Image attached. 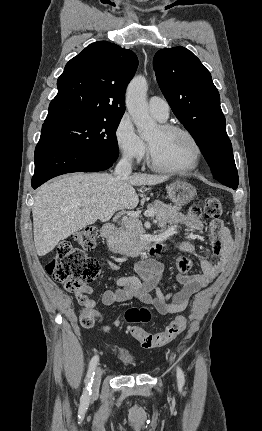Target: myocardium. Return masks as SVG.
I'll list each match as a JSON object with an SVG mask.
<instances>
[{
  "label": "myocardium",
  "mask_w": 262,
  "mask_h": 431,
  "mask_svg": "<svg viewBox=\"0 0 262 431\" xmlns=\"http://www.w3.org/2000/svg\"><path fill=\"white\" fill-rule=\"evenodd\" d=\"M159 128L163 132H180L186 135L190 139L194 148L193 159L191 164L187 167L172 168V167L163 166L156 161L153 155L151 146L148 143V165L157 171L167 173V174L187 175L192 171H194L199 166V163L202 158V149L196 136L189 129L178 124L163 123L159 125Z\"/></svg>",
  "instance_id": "obj_1"
}]
</instances>
